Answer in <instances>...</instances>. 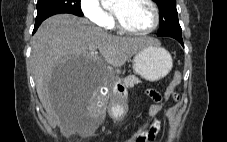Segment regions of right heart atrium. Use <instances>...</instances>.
<instances>
[{"label": "right heart atrium", "instance_id": "d8ad5b80", "mask_svg": "<svg viewBox=\"0 0 227 142\" xmlns=\"http://www.w3.org/2000/svg\"><path fill=\"white\" fill-rule=\"evenodd\" d=\"M80 9L83 15L93 24L106 28L111 22V15L106 11L99 0H80Z\"/></svg>", "mask_w": 227, "mask_h": 142}]
</instances>
